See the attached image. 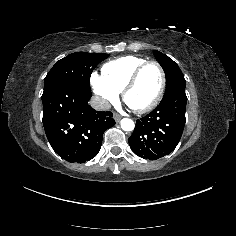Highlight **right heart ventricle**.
I'll use <instances>...</instances> for the list:
<instances>
[{"mask_svg":"<svg viewBox=\"0 0 236 236\" xmlns=\"http://www.w3.org/2000/svg\"><path fill=\"white\" fill-rule=\"evenodd\" d=\"M147 59L127 55L108 61L101 68V76L115 92L121 93L133 71Z\"/></svg>","mask_w":236,"mask_h":236,"instance_id":"right-heart-ventricle-1","label":"right heart ventricle"}]
</instances>
